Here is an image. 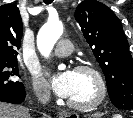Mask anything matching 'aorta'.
<instances>
[{
	"label": "aorta",
	"mask_w": 133,
	"mask_h": 118,
	"mask_svg": "<svg viewBox=\"0 0 133 118\" xmlns=\"http://www.w3.org/2000/svg\"><path fill=\"white\" fill-rule=\"evenodd\" d=\"M63 33V26L60 22H48L38 32L37 47L42 55L48 57L55 43ZM64 68L63 66L59 67Z\"/></svg>",
	"instance_id": "obj_1"
}]
</instances>
